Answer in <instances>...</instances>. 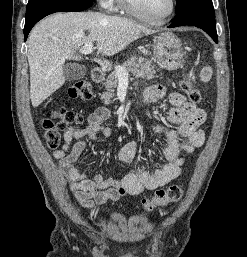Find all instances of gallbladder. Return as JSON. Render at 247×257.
Listing matches in <instances>:
<instances>
[{"label": "gallbladder", "instance_id": "gallbladder-1", "mask_svg": "<svg viewBox=\"0 0 247 257\" xmlns=\"http://www.w3.org/2000/svg\"><path fill=\"white\" fill-rule=\"evenodd\" d=\"M87 69L84 65L67 63L63 67V74L67 81H77L85 77Z\"/></svg>", "mask_w": 247, "mask_h": 257}]
</instances>
